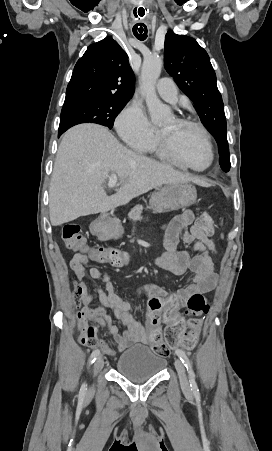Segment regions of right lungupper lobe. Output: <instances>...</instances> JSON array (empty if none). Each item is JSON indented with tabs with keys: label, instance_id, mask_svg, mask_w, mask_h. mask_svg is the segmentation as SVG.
I'll return each instance as SVG.
<instances>
[{
	"label": "right lung upper lobe",
	"instance_id": "cb5924a9",
	"mask_svg": "<svg viewBox=\"0 0 272 451\" xmlns=\"http://www.w3.org/2000/svg\"><path fill=\"white\" fill-rule=\"evenodd\" d=\"M134 74L128 55L111 37L90 45L74 67L65 101L79 98L130 100Z\"/></svg>",
	"mask_w": 272,
	"mask_h": 451
}]
</instances>
